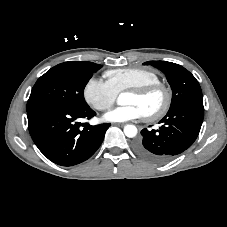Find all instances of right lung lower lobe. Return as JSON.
Returning a JSON list of instances; mask_svg holds the SVG:
<instances>
[{
    "instance_id": "98d812e1",
    "label": "right lung lower lobe",
    "mask_w": 227,
    "mask_h": 227,
    "mask_svg": "<svg viewBox=\"0 0 227 227\" xmlns=\"http://www.w3.org/2000/svg\"><path fill=\"white\" fill-rule=\"evenodd\" d=\"M96 113L89 107L42 104L27 110L30 135L50 161L72 166L90 158L100 147L110 124L91 126L78 122Z\"/></svg>"
}]
</instances>
